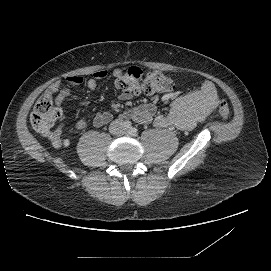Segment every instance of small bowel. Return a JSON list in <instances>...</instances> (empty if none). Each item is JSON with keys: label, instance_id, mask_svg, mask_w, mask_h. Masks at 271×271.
<instances>
[{"label": "small bowel", "instance_id": "c3829d8e", "mask_svg": "<svg viewBox=\"0 0 271 271\" xmlns=\"http://www.w3.org/2000/svg\"><path fill=\"white\" fill-rule=\"evenodd\" d=\"M114 77L117 80L122 76L120 69L113 70ZM107 76L105 70H99L93 74V78L86 82L89 90H94L97 87L98 81ZM69 85H80L84 82L83 77L79 75L69 76L65 79ZM52 95L57 94L55 102L61 105L71 93L69 87H63L60 80L53 82L47 90ZM121 100H130L131 93L121 92ZM219 102L217 89L211 81H205L200 89L190 92L184 96L176 97L170 104L169 110L166 114H157L155 106L151 104H144L139 107L130 109L121 114L122 118H131L139 123L147 124L152 122L159 128H176L178 130H190L197 124L204 121L210 114H212ZM112 119V114L109 112H98L93 118V125L101 127L109 123ZM89 125L84 118L80 119L75 125L74 129L83 130ZM53 144L60 145V136L57 132L53 136Z\"/></svg>", "mask_w": 271, "mask_h": 271}]
</instances>
